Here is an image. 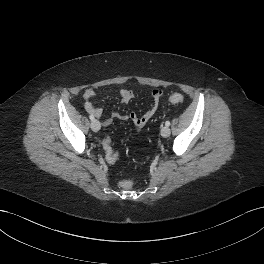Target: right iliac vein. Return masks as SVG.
<instances>
[{"mask_svg": "<svg viewBox=\"0 0 264 264\" xmlns=\"http://www.w3.org/2000/svg\"><path fill=\"white\" fill-rule=\"evenodd\" d=\"M91 129L93 130V131H95V132H97V131H99L100 130V128H101V125H100V123H99V121H97V120H93L92 122H91Z\"/></svg>", "mask_w": 264, "mask_h": 264, "instance_id": "1", "label": "right iliac vein"}]
</instances>
